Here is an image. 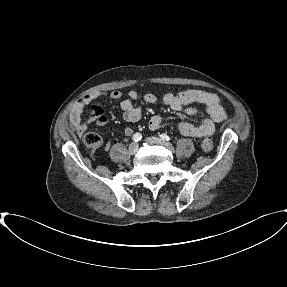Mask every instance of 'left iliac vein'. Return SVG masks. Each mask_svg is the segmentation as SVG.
I'll list each match as a JSON object with an SVG mask.
<instances>
[{"label": "left iliac vein", "instance_id": "1", "mask_svg": "<svg viewBox=\"0 0 287 287\" xmlns=\"http://www.w3.org/2000/svg\"><path fill=\"white\" fill-rule=\"evenodd\" d=\"M146 141L148 143H151V144H158V145H162L164 147H166L167 149H172V145L168 142H165L163 140H161L160 138L158 137H148L146 139Z\"/></svg>", "mask_w": 287, "mask_h": 287}]
</instances>
